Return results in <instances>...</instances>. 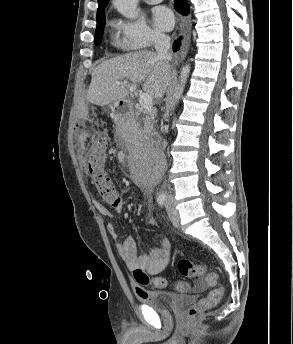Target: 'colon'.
Segmentation results:
<instances>
[{
	"mask_svg": "<svg viewBox=\"0 0 293 344\" xmlns=\"http://www.w3.org/2000/svg\"><path fill=\"white\" fill-rule=\"evenodd\" d=\"M108 151V140L104 137L97 139L87 156V170L90 179L95 184L100 196L109 204L118 206L121 197L113 182L106 171V158ZM177 269L182 276L189 278H201L205 274V266L203 264H194L187 259H181L177 263ZM133 276L138 284L145 285L150 279L142 269H134ZM218 277L215 273L208 275L211 282L217 281ZM153 283L157 287L166 286V280L163 278H155ZM183 283H179L181 288ZM224 294V288L218 286L211 290L206 297L199 300L187 310V316L195 319L201 313L213 308Z\"/></svg>",
	"mask_w": 293,
	"mask_h": 344,
	"instance_id": "obj_1",
	"label": "colon"
}]
</instances>
